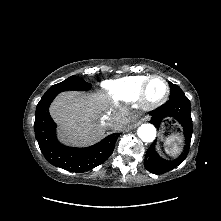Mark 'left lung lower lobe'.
I'll use <instances>...</instances> for the list:
<instances>
[{"mask_svg": "<svg viewBox=\"0 0 221 221\" xmlns=\"http://www.w3.org/2000/svg\"><path fill=\"white\" fill-rule=\"evenodd\" d=\"M150 123L159 129L162 122L171 120L182 126L185 136V147L183 153L175 160L168 161L161 158L155 151L156 140L151 144L146 152L144 166L153 174H163L181 164L188 152L193 132V124L191 119V105L186 96L170 98L167 103L150 112Z\"/></svg>", "mask_w": 221, "mask_h": 221, "instance_id": "obj_1", "label": "left lung lower lobe"}]
</instances>
